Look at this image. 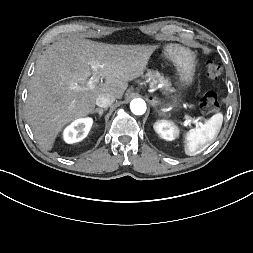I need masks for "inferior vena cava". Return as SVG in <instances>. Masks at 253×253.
Segmentation results:
<instances>
[{
    "instance_id": "1",
    "label": "inferior vena cava",
    "mask_w": 253,
    "mask_h": 253,
    "mask_svg": "<svg viewBox=\"0 0 253 253\" xmlns=\"http://www.w3.org/2000/svg\"><path fill=\"white\" fill-rule=\"evenodd\" d=\"M115 101V97L110 94H102L96 98V105L101 108L109 107Z\"/></svg>"
}]
</instances>
